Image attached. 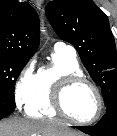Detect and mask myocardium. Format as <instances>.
Masks as SVG:
<instances>
[{"mask_svg": "<svg viewBox=\"0 0 117 136\" xmlns=\"http://www.w3.org/2000/svg\"><path fill=\"white\" fill-rule=\"evenodd\" d=\"M79 85L89 86L94 91L97 98V112L93 118L88 120H80L73 117L69 113L67 108L68 94ZM51 104L58 115L64 117L72 123L81 125H89L95 123L101 117L104 108L101 91L94 82H92L82 74H69L60 78L53 88L51 95Z\"/></svg>", "mask_w": 117, "mask_h": 136, "instance_id": "1", "label": "myocardium"}]
</instances>
